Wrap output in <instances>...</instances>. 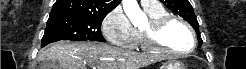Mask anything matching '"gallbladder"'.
Segmentation results:
<instances>
[{"mask_svg":"<svg viewBox=\"0 0 246 69\" xmlns=\"http://www.w3.org/2000/svg\"><path fill=\"white\" fill-rule=\"evenodd\" d=\"M40 69H59V67H58V64H55L50 60H45L41 64Z\"/></svg>","mask_w":246,"mask_h":69,"instance_id":"1","label":"gallbladder"}]
</instances>
